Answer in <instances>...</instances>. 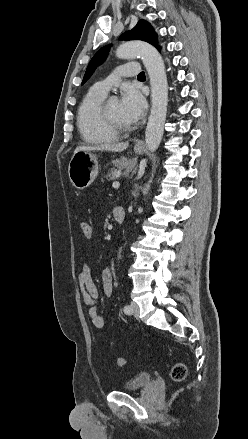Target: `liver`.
<instances>
[{
    "mask_svg": "<svg viewBox=\"0 0 248 439\" xmlns=\"http://www.w3.org/2000/svg\"><path fill=\"white\" fill-rule=\"evenodd\" d=\"M129 146L128 142H114V143H104L101 145L94 146H78L76 147L74 153L78 151H112V152H122Z\"/></svg>",
    "mask_w": 248,
    "mask_h": 439,
    "instance_id": "obj_1",
    "label": "liver"
}]
</instances>
